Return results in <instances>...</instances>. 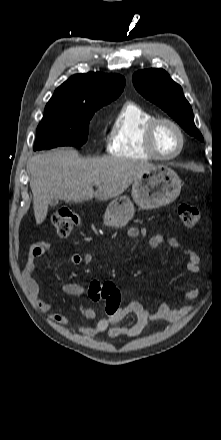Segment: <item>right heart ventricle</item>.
Here are the masks:
<instances>
[{
	"mask_svg": "<svg viewBox=\"0 0 221 440\" xmlns=\"http://www.w3.org/2000/svg\"><path fill=\"white\" fill-rule=\"evenodd\" d=\"M154 115L133 101L125 102L112 125L107 151L117 158L152 159L144 141L146 124Z\"/></svg>",
	"mask_w": 221,
	"mask_h": 440,
	"instance_id": "obj_1",
	"label": "right heart ventricle"
}]
</instances>
